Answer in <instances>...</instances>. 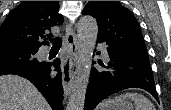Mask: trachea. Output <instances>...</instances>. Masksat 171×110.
I'll return each mask as SVG.
<instances>
[{
  "mask_svg": "<svg viewBox=\"0 0 171 110\" xmlns=\"http://www.w3.org/2000/svg\"><path fill=\"white\" fill-rule=\"evenodd\" d=\"M50 41L52 43V49H60L61 48V45H62L61 38H59V37L53 38Z\"/></svg>",
  "mask_w": 171,
  "mask_h": 110,
  "instance_id": "obj_1",
  "label": "trachea"
}]
</instances>
